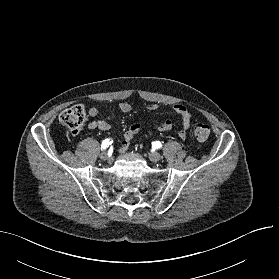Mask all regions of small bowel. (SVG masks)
I'll list each match as a JSON object with an SVG mask.
<instances>
[{
    "instance_id": "small-bowel-1",
    "label": "small bowel",
    "mask_w": 279,
    "mask_h": 279,
    "mask_svg": "<svg viewBox=\"0 0 279 279\" xmlns=\"http://www.w3.org/2000/svg\"><path fill=\"white\" fill-rule=\"evenodd\" d=\"M163 107L159 104H150L147 109L149 111H158ZM118 109L122 113H129L132 110V107L129 103L122 102L118 105ZM170 109L177 115V117L181 120V125L178 129V135L181 139H185L187 137V130L190 128L193 120V116L191 111L187 106L177 103L170 106ZM88 115L90 117H96L98 115V109L95 107H91L88 110ZM87 128L91 130H100L103 132H107L110 130V124L103 120H92L87 124ZM142 125L140 122L133 123L130 128L124 133L123 139L121 141V146L119 151L125 152L132 140L141 132ZM172 129V122L167 120L157 126V130L159 132H168Z\"/></svg>"
}]
</instances>
